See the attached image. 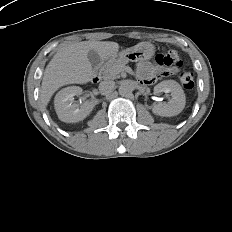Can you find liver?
<instances>
[{
	"instance_id": "6515ba94",
	"label": "liver",
	"mask_w": 232,
	"mask_h": 232,
	"mask_svg": "<svg viewBox=\"0 0 232 232\" xmlns=\"http://www.w3.org/2000/svg\"><path fill=\"white\" fill-rule=\"evenodd\" d=\"M90 50L96 51L101 59L107 60L117 55L119 44L112 41H83L61 47L44 71L40 90V101L44 108L60 87L85 84L92 79L93 68L87 57Z\"/></svg>"
}]
</instances>
